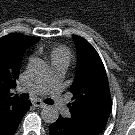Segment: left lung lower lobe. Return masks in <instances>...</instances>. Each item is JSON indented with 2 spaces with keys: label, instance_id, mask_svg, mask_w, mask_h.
Here are the masks:
<instances>
[{
  "label": "left lung lower lobe",
  "instance_id": "0a47b994",
  "mask_svg": "<svg viewBox=\"0 0 135 135\" xmlns=\"http://www.w3.org/2000/svg\"><path fill=\"white\" fill-rule=\"evenodd\" d=\"M50 135H97L87 127L60 116L49 126Z\"/></svg>",
  "mask_w": 135,
  "mask_h": 135
}]
</instances>
